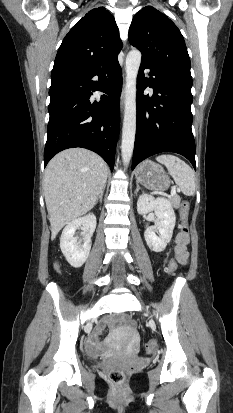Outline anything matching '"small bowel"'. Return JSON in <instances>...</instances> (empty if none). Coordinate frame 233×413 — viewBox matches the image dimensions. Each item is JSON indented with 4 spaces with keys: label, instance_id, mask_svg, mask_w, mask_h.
Segmentation results:
<instances>
[{
    "label": "small bowel",
    "instance_id": "c3829d8e",
    "mask_svg": "<svg viewBox=\"0 0 233 413\" xmlns=\"http://www.w3.org/2000/svg\"><path fill=\"white\" fill-rule=\"evenodd\" d=\"M176 245L174 247L173 253L176 261L185 265L188 262V253L186 251V246L188 244V237H183L180 233L176 236ZM166 262V261H165ZM118 322L117 318L114 316L105 318L97 327L95 334L91 336L88 341V348L91 354H101L106 353V350L101 345L99 335L106 329L114 326Z\"/></svg>",
    "mask_w": 233,
    "mask_h": 413
}]
</instances>
